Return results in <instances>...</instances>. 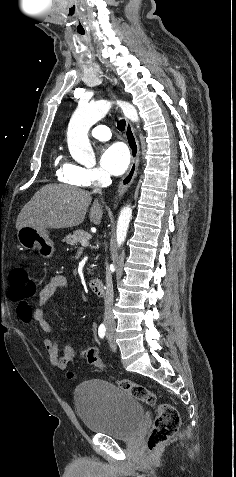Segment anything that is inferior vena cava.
Instances as JSON below:
<instances>
[{
	"label": "inferior vena cava",
	"mask_w": 236,
	"mask_h": 477,
	"mask_svg": "<svg viewBox=\"0 0 236 477\" xmlns=\"http://www.w3.org/2000/svg\"><path fill=\"white\" fill-rule=\"evenodd\" d=\"M111 184L110 176H105L102 181L99 182L98 187L95 189L96 192H101V188L106 187ZM113 283H112V276L109 269H106V295H105V313H104V321L108 326H114L115 320L112 313V305H113Z\"/></svg>",
	"instance_id": "obj_1"
}]
</instances>
